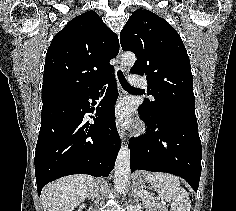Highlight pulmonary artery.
<instances>
[{
	"instance_id": "obj_1",
	"label": "pulmonary artery",
	"mask_w": 236,
	"mask_h": 211,
	"mask_svg": "<svg viewBox=\"0 0 236 211\" xmlns=\"http://www.w3.org/2000/svg\"><path fill=\"white\" fill-rule=\"evenodd\" d=\"M130 82L132 85L136 87H140V88L147 87V81L144 78L138 77L137 75H132Z\"/></svg>"
}]
</instances>
